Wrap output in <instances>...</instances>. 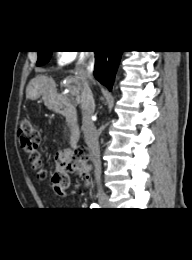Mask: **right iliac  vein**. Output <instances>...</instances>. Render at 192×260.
I'll list each match as a JSON object with an SVG mask.
<instances>
[{"mask_svg": "<svg viewBox=\"0 0 192 260\" xmlns=\"http://www.w3.org/2000/svg\"><path fill=\"white\" fill-rule=\"evenodd\" d=\"M97 198L101 207L109 208L111 206L109 198L104 192H99Z\"/></svg>", "mask_w": 192, "mask_h": 260, "instance_id": "1", "label": "right iliac vein"}]
</instances>
